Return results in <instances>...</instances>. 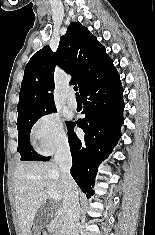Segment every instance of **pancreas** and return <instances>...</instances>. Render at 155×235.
<instances>
[{
    "instance_id": "cf45deb5",
    "label": "pancreas",
    "mask_w": 155,
    "mask_h": 235,
    "mask_svg": "<svg viewBox=\"0 0 155 235\" xmlns=\"http://www.w3.org/2000/svg\"><path fill=\"white\" fill-rule=\"evenodd\" d=\"M56 224H57V222H53V223L50 225V229L55 228Z\"/></svg>"
}]
</instances>
